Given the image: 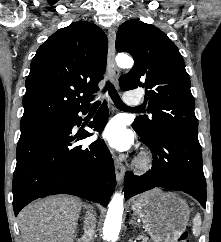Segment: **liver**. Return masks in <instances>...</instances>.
Returning a JSON list of instances; mask_svg holds the SVG:
<instances>
[{"mask_svg": "<svg viewBox=\"0 0 221 242\" xmlns=\"http://www.w3.org/2000/svg\"><path fill=\"white\" fill-rule=\"evenodd\" d=\"M82 202L55 196L35 201L19 213L23 242H72Z\"/></svg>", "mask_w": 221, "mask_h": 242, "instance_id": "1", "label": "liver"}]
</instances>
